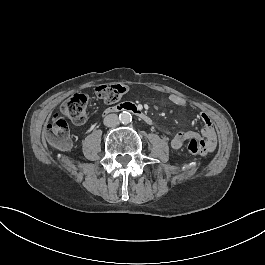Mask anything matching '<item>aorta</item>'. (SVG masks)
Here are the masks:
<instances>
[{
    "label": "aorta",
    "mask_w": 265,
    "mask_h": 265,
    "mask_svg": "<svg viewBox=\"0 0 265 265\" xmlns=\"http://www.w3.org/2000/svg\"><path fill=\"white\" fill-rule=\"evenodd\" d=\"M119 120L122 124H129L132 121V115L130 112L127 111H123L120 115H119Z\"/></svg>",
    "instance_id": "762f6f07"
}]
</instances>
